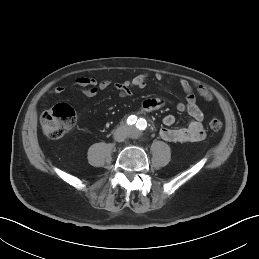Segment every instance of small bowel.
Segmentation results:
<instances>
[{
	"label": "small bowel",
	"instance_id": "1",
	"mask_svg": "<svg viewBox=\"0 0 259 259\" xmlns=\"http://www.w3.org/2000/svg\"><path fill=\"white\" fill-rule=\"evenodd\" d=\"M155 78L163 81L165 78L163 74L157 73ZM148 79L146 73H141L130 80H126L115 85L116 90L122 97L130 96L132 89H142L145 87ZM178 86L185 94L186 102H179L176 106L179 112H187L190 121L185 128H170L175 123L173 115H166L163 119L165 127L159 131L160 137L168 142L186 143L198 142L205 138L206 133L203 127L204 114L199 108L196 100L195 90L201 97L206 100H211L210 92L202 86H194L189 81L181 79L177 81ZM110 81L108 79L97 80L93 77L84 76L77 78L70 86L73 90L82 91L86 96L92 97L97 95L100 91L108 89ZM65 91L63 86H56L48 91V94L60 95ZM164 106V101L160 98H149L144 100L140 105L141 113H149L159 110Z\"/></svg>",
	"mask_w": 259,
	"mask_h": 259
}]
</instances>
